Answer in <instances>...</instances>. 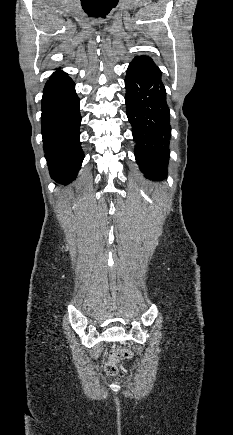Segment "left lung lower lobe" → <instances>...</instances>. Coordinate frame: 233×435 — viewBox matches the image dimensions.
<instances>
[{
  "label": "left lung lower lobe",
  "mask_w": 233,
  "mask_h": 435,
  "mask_svg": "<svg viewBox=\"0 0 233 435\" xmlns=\"http://www.w3.org/2000/svg\"><path fill=\"white\" fill-rule=\"evenodd\" d=\"M125 88L136 162L147 179L162 180L166 177L171 126L161 74L130 63Z\"/></svg>",
  "instance_id": "1"
}]
</instances>
